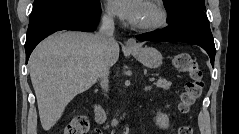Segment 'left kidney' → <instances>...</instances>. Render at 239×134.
<instances>
[{"mask_svg":"<svg viewBox=\"0 0 239 134\" xmlns=\"http://www.w3.org/2000/svg\"><path fill=\"white\" fill-rule=\"evenodd\" d=\"M156 125L160 129H167L169 127V117H168V115L159 112L156 116Z\"/></svg>","mask_w":239,"mask_h":134,"instance_id":"obj_1","label":"left kidney"}]
</instances>
